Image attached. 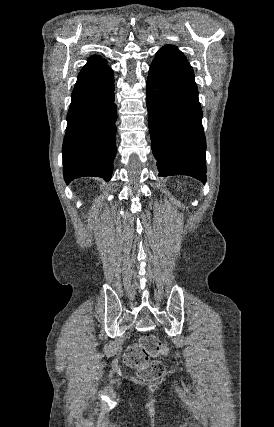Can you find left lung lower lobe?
<instances>
[{"instance_id": "1", "label": "left lung lower lobe", "mask_w": 274, "mask_h": 427, "mask_svg": "<svg viewBox=\"0 0 274 427\" xmlns=\"http://www.w3.org/2000/svg\"><path fill=\"white\" fill-rule=\"evenodd\" d=\"M148 122L159 176L206 182V140L192 67L175 46L155 55L147 79Z\"/></svg>"}]
</instances>
